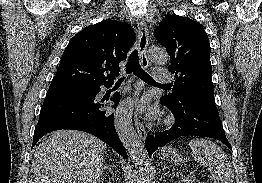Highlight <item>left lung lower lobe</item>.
Segmentation results:
<instances>
[{"instance_id": "1", "label": "left lung lower lobe", "mask_w": 262, "mask_h": 183, "mask_svg": "<svg viewBox=\"0 0 262 183\" xmlns=\"http://www.w3.org/2000/svg\"><path fill=\"white\" fill-rule=\"evenodd\" d=\"M162 104L172 111L175 124L167 131L147 137L145 145L149 156L159 147L182 136L215 138L232 149L225 136L216 106L192 104L170 107Z\"/></svg>"}]
</instances>
